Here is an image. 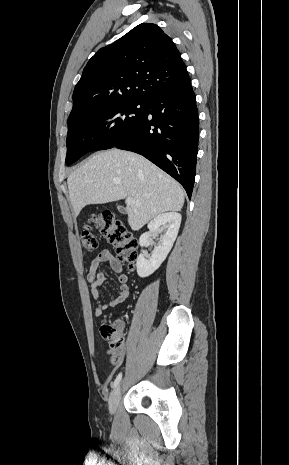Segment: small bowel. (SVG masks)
Listing matches in <instances>:
<instances>
[{
  "label": "small bowel",
  "mask_w": 289,
  "mask_h": 465,
  "mask_svg": "<svg viewBox=\"0 0 289 465\" xmlns=\"http://www.w3.org/2000/svg\"><path fill=\"white\" fill-rule=\"evenodd\" d=\"M107 262L115 273H118L119 276L117 278L118 282L120 283L119 291L115 299L109 302H102L100 300V291L99 287L106 281V274L99 270V267L102 263ZM122 264L121 262L116 259L109 250H102L91 261L90 268L87 274V280L90 283V293L94 300L97 302V306L95 308V316L100 317L103 311L107 310L108 308L115 307L120 303L124 302L130 293L128 282V275L122 272ZM117 325L120 329L123 328L124 323L122 321H118ZM110 355V351H108ZM122 358V356H121ZM121 358L119 360H111V363L117 365L120 363Z\"/></svg>",
  "instance_id": "obj_1"
}]
</instances>
